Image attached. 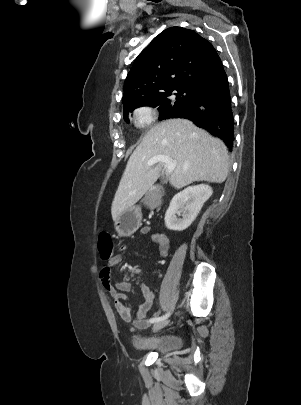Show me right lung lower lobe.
<instances>
[{"instance_id": "98d812e1", "label": "right lung lower lobe", "mask_w": 301, "mask_h": 405, "mask_svg": "<svg viewBox=\"0 0 301 405\" xmlns=\"http://www.w3.org/2000/svg\"><path fill=\"white\" fill-rule=\"evenodd\" d=\"M166 118L189 119L198 127L222 139L231 150L234 143L235 122L227 76L199 91L189 104L175 110Z\"/></svg>"}]
</instances>
